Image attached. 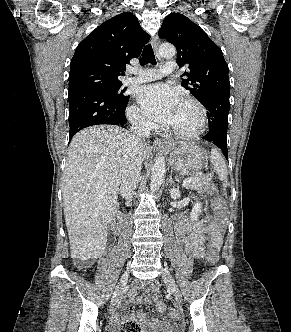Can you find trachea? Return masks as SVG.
<instances>
[{"label": "trachea", "instance_id": "1", "mask_svg": "<svg viewBox=\"0 0 291 332\" xmlns=\"http://www.w3.org/2000/svg\"><path fill=\"white\" fill-rule=\"evenodd\" d=\"M148 63H151L153 65L156 64L154 52L152 49V46L150 44L146 45L143 50V55L140 61L141 65H146Z\"/></svg>", "mask_w": 291, "mask_h": 332}]
</instances>
